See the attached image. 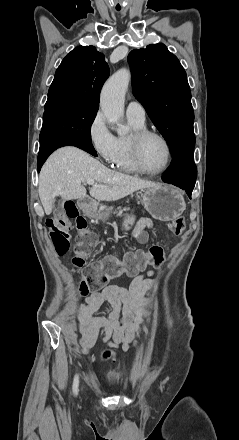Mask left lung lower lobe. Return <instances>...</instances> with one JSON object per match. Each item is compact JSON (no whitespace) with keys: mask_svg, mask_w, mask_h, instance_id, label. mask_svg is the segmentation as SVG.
<instances>
[{"mask_svg":"<svg viewBox=\"0 0 239 440\" xmlns=\"http://www.w3.org/2000/svg\"><path fill=\"white\" fill-rule=\"evenodd\" d=\"M194 144L185 145L173 154L170 168L162 177L164 182L184 189L190 198L197 176V168L194 163Z\"/></svg>","mask_w":239,"mask_h":440,"instance_id":"left-lung-lower-lobe-1","label":"left lung lower lobe"}]
</instances>
